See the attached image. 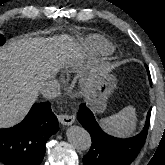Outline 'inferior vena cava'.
Segmentation results:
<instances>
[{"label":"inferior vena cava","mask_w":165,"mask_h":165,"mask_svg":"<svg viewBox=\"0 0 165 165\" xmlns=\"http://www.w3.org/2000/svg\"><path fill=\"white\" fill-rule=\"evenodd\" d=\"M40 92L47 99L56 98L60 94V85L57 81H47L42 84Z\"/></svg>","instance_id":"inferior-vena-cava-1"}]
</instances>
